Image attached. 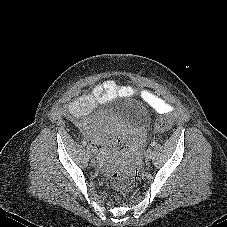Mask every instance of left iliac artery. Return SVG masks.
<instances>
[{"mask_svg": "<svg viewBox=\"0 0 227 227\" xmlns=\"http://www.w3.org/2000/svg\"><path fill=\"white\" fill-rule=\"evenodd\" d=\"M157 143L155 142V141H153L152 143H151V146L153 147V146H155Z\"/></svg>", "mask_w": 227, "mask_h": 227, "instance_id": "obj_1", "label": "left iliac artery"}]
</instances>
